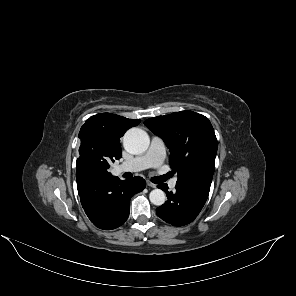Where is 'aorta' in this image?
<instances>
[{"label":"aorta","mask_w":296,"mask_h":296,"mask_svg":"<svg viewBox=\"0 0 296 296\" xmlns=\"http://www.w3.org/2000/svg\"><path fill=\"white\" fill-rule=\"evenodd\" d=\"M149 136L140 128L129 129L123 138V145L126 151L131 154H141L149 147ZM150 202L156 206H161L166 201V194L161 189H154L149 194Z\"/></svg>","instance_id":"aorta-1"}]
</instances>
